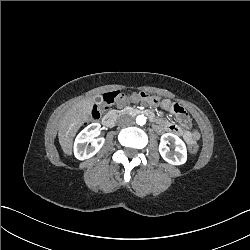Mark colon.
<instances>
[{
    "label": "colon",
    "mask_w": 250,
    "mask_h": 250,
    "mask_svg": "<svg viewBox=\"0 0 250 250\" xmlns=\"http://www.w3.org/2000/svg\"><path fill=\"white\" fill-rule=\"evenodd\" d=\"M126 98V94L121 91H111L105 93L102 97V101L99 104L93 105L91 109V121L97 122L109 105L114 103H122L126 100ZM137 99L142 101H150L151 103H159L160 101L158 95H153V97H151L145 92L137 93ZM173 112L177 115L183 125H188V117L186 114H184L183 108L178 105H174ZM193 143L194 142L190 141L191 146H189L187 149L189 155H195L199 149L198 146Z\"/></svg>",
    "instance_id": "1"
}]
</instances>
